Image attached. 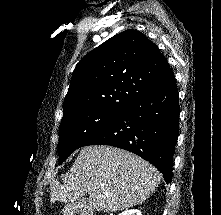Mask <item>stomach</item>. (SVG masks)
<instances>
[{"instance_id":"0dacf381","label":"stomach","mask_w":221,"mask_h":215,"mask_svg":"<svg viewBox=\"0 0 221 215\" xmlns=\"http://www.w3.org/2000/svg\"><path fill=\"white\" fill-rule=\"evenodd\" d=\"M74 208L72 205H66L63 209V214L64 215H74Z\"/></svg>"}]
</instances>
